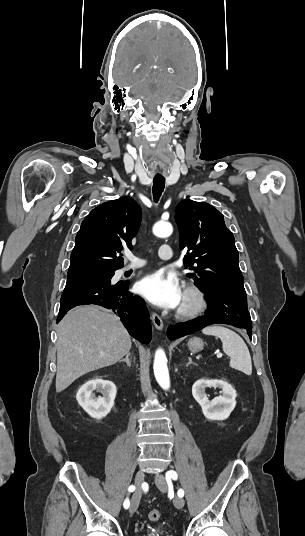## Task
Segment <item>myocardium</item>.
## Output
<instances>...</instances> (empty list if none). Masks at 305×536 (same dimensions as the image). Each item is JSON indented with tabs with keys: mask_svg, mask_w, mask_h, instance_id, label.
<instances>
[{
	"mask_svg": "<svg viewBox=\"0 0 305 536\" xmlns=\"http://www.w3.org/2000/svg\"><path fill=\"white\" fill-rule=\"evenodd\" d=\"M183 296L191 300V304L179 306L176 317L181 319L194 318L205 312L209 306V297L205 289L196 283H188L183 290Z\"/></svg>",
	"mask_w": 305,
	"mask_h": 536,
	"instance_id": "obj_1",
	"label": "myocardium"
}]
</instances>
